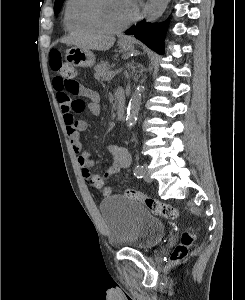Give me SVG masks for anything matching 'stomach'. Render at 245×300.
Returning a JSON list of instances; mask_svg holds the SVG:
<instances>
[{
	"label": "stomach",
	"mask_w": 245,
	"mask_h": 300,
	"mask_svg": "<svg viewBox=\"0 0 245 300\" xmlns=\"http://www.w3.org/2000/svg\"><path fill=\"white\" fill-rule=\"evenodd\" d=\"M119 47L124 51L134 49V44L131 39L120 40ZM65 59L76 67H92L95 63V55L89 49L79 47H71L66 50Z\"/></svg>",
	"instance_id": "obj_1"
}]
</instances>
